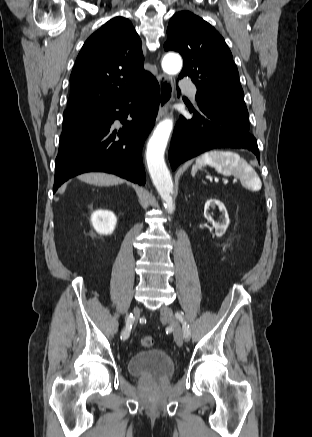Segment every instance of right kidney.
<instances>
[{"label":"right kidney","instance_id":"1","mask_svg":"<svg viewBox=\"0 0 312 437\" xmlns=\"http://www.w3.org/2000/svg\"><path fill=\"white\" fill-rule=\"evenodd\" d=\"M91 223L99 234H112L115 229L117 218L108 210H97L91 215Z\"/></svg>","mask_w":312,"mask_h":437}]
</instances>
